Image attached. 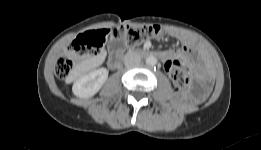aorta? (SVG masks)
Here are the masks:
<instances>
[{
  "label": "aorta",
  "mask_w": 261,
  "mask_h": 150,
  "mask_svg": "<svg viewBox=\"0 0 261 150\" xmlns=\"http://www.w3.org/2000/svg\"><path fill=\"white\" fill-rule=\"evenodd\" d=\"M146 64L151 67L155 66L157 64V58L154 56H148L146 58Z\"/></svg>",
  "instance_id": "aorta-1"
}]
</instances>
